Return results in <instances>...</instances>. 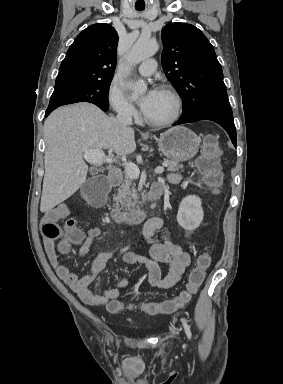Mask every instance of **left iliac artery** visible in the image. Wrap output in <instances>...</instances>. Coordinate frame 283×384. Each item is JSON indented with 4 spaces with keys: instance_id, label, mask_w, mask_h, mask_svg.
<instances>
[{
    "instance_id": "1",
    "label": "left iliac artery",
    "mask_w": 283,
    "mask_h": 384,
    "mask_svg": "<svg viewBox=\"0 0 283 384\" xmlns=\"http://www.w3.org/2000/svg\"><path fill=\"white\" fill-rule=\"evenodd\" d=\"M181 321H182V324H183V327H184V330H185V333H186L188 339H191L192 334H191V330H190L189 325L187 324L185 319H182Z\"/></svg>"
}]
</instances>
